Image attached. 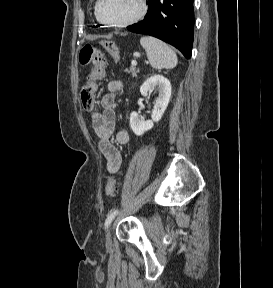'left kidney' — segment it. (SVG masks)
Instances as JSON below:
<instances>
[{
	"label": "left kidney",
	"mask_w": 273,
	"mask_h": 288,
	"mask_svg": "<svg viewBox=\"0 0 273 288\" xmlns=\"http://www.w3.org/2000/svg\"><path fill=\"white\" fill-rule=\"evenodd\" d=\"M157 89L158 97L155 100L154 109L151 114V120L144 121L140 119L137 112L133 111L130 115V127L135 135L141 136L154 126V122L160 121L171 97L170 81L162 75H153L143 82L140 87V93L146 96L149 91Z\"/></svg>",
	"instance_id": "left-kidney-1"
}]
</instances>
